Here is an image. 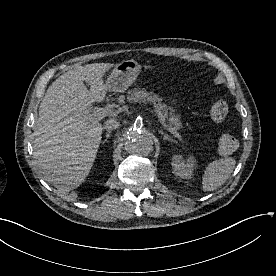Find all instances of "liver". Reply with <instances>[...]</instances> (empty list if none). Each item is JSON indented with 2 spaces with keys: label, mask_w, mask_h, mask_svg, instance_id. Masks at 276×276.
I'll list each match as a JSON object with an SVG mask.
<instances>
[{
  "label": "liver",
  "mask_w": 276,
  "mask_h": 276,
  "mask_svg": "<svg viewBox=\"0 0 276 276\" xmlns=\"http://www.w3.org/2000/svg\"><path fill=\"white\" fill-rule=\"evenodd\" d=\"M113 66L93 63L69 70L49 86L39 106L34 155L44 179L62 194L80 186L93 166L102 124L89 119L88 107L105 99L103 77Z\"/></svg>",
  "instance_id": "6515ba94"
}]
</instances>
